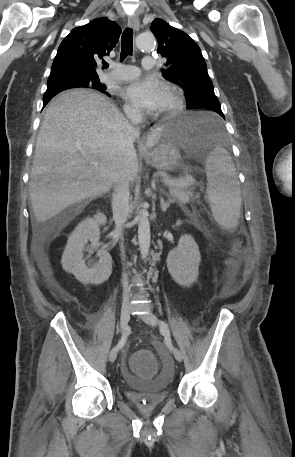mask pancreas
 <instances>
[{
	"instance_id": "pancreas-1",
	"label": "pancreas",
	"mask_w": 295,
	"mask_h": 457,
	"mask_svg": "<svg viewBox=\"0 0 295 457\" xmlns=\"http://www.w3.org/2000/svg\"><path fill=\"white\" fill-rule=\"evenodd\" d=\"M194 182L187 186H170L169 196L171 201L186 203L193 198Z\"/></svg>"
}]
</instances>
